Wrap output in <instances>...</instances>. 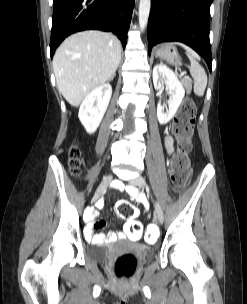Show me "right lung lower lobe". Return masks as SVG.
Here are the masks:
<instances>
[{"mask_svg":"<svg viewBox=\"0 0 247 304\" xmlns=\"http://www.w3.org/2000/svg\"><path fill=\"white\" fill-rule=\"evenodd\" d=\"M134 0H53L51 58L70 34L89 29L113 32L127 42Z\"/></svg>","mask_w":247,"mask_h":304,"instance_id":"1","label":"right lung lower lobe"}]
</instances>
